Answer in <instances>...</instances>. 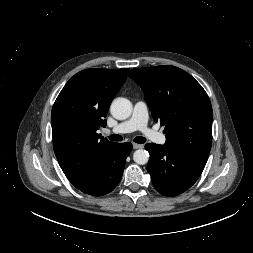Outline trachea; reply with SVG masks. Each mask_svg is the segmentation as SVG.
I'll use <instances>...</instances> for the list:
<instances>
[{
    "instance_id": "obj_1",
    "label": "trachea",
    "mask_w": 253,
    "mask_h": 253,
    "mask_svg": "<svg viewBox=\"0 0 253 253\" xmlns=\"http://www.w3.org/2000/svg\"><path fill=\"white\" fill-rule=\"evenodd\" d=\"M111 141H122L123 138L122 136L118 135V134H112L108 137ZM134 142L142 144L146 142V139L142 136H138L134 138Z\"/></svg>"
}]
</instances>
